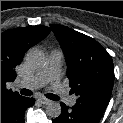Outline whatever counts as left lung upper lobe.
Segmentation results:
<instances>
[{"mask_svg":"<svg viewBox=\"0 0 123 123\" xmlns=\"http://www.w3.org/2000/svg\"><path fill=\"white\" fill-rule=\"evenodd\" d=\"M66 56L75 107L102 117L114 84V66L108 52L93 38L69 27L52 24Z\"/></svg>","mask_w":123,"mask_h":123,"instance_id":"left-lung-upper-lobe-1","label":"left lung upper lobe"}]
</instances>
